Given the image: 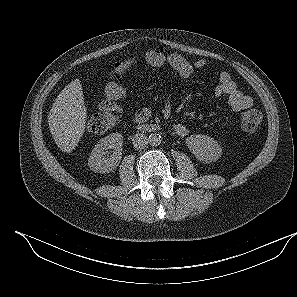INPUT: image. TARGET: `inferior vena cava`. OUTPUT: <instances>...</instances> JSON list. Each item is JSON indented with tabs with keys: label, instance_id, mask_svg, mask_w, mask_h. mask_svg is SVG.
<instances>
[{
	"label": "inferior vena cava",
	"instance_id": "1",
	"mask_svg": "<svg viewBox=\"0 0 297 297\" xmlns=\"http://www.w3.org/2000/svg\"><path fill=\"white\" fill-rule=\"evenodd\" d=\"M132 142L136 149H143L148 144V137L143 133H136Z\"/></svg>",
	"mask_w": 297,
	"mask_h": 297
}]
</instances>
